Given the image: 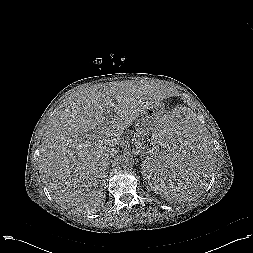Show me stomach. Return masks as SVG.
Instances as JSON below:
<instances>
[{
	"label": "stomach",
	"mask_w": 253,
	"mask_h": 253,
	"mask_svg": "<svg viewBox=\"0 0 253 253\" xmlns=\"http://www.w3.org/2000/svg\"><path fill=\"white\" fill-rule=\"evenodd\" d=\"M163 109L157 107V105H152L151 107L147 108L142 113V123L148 127L149 129H153V127L163 119L162 116Z\"/></svg>",
	"instance_id": "stomach-1"
}]
</instances>
